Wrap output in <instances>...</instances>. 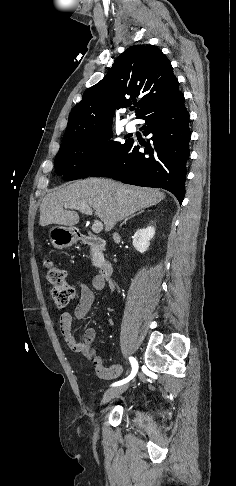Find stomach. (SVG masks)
<instances>
[{"mask_svg": "<svg viewBox=\"0 0 236 486\" xmlns=\"http://www.w3.org/2000/svg\"><path fill=\"white\" fill-rule=\"evenodd\" d=\"M52 245L57 249H64L77 242L78 237L73 227L54 226L49 232Z\"/></svg>", "mask_w": 236, "mask_h": 486, "instance_id": "0dacf381", "label": "stomach"}]
</instances>
